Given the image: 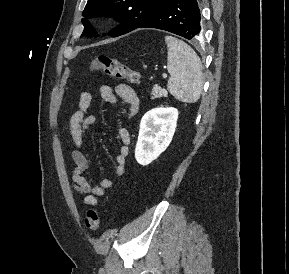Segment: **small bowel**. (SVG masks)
I'll use <instances>...</instances> for the list:
<instances>
[{
  "label": "small bowel",
  "instance_id": "small-bowel-1",
  "mask_svg": "<svg viewBox=\"0 0 289 274\" xmlns=\"http://www.w3.org/2000/svg\"><path fill=\"white\" fill-rule=\"evenodd\" d=\"M101 98L110 103L117 104L119 99L125 104V117L127 120L133 119L140 110V99L136 91L126 85L118 84L114 89L108 85L98 87ZM92 103V93L85 90L79 98L78 109L73 113L70 119V134L75 149L71 152L72 161L75 164L73 170V190L83 195V203L89 206H97L98 198L104 196L108 190L114 187L111 179L104 178L97 185L93 186L84 176V172L89 167V162L81 148L85 144V133L88 128L97 122L95 115L89 114ZM118 136L121 142L119 151L115 156V165L113 167L114 175L121 177L125 174L126 158L129 154L130 133L124 126L119 127Z\"/></svg>",
  "mask_w": 289,
  "mask_h": 274
}]
</instances>
